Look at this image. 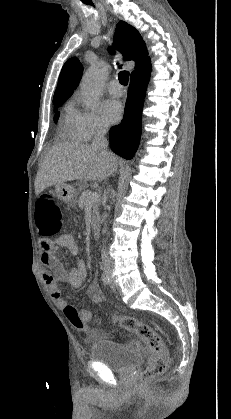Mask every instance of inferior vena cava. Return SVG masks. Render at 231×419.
I'll return each mask as SVG.
<instances>
[{"label": "inferior vena cava", "mask_w": 231, "mask_h": 419, "mask_svg": "<svg viewBox=\"0 0 231 419\" xmlns=\"http://www.w3.org/2000/svg\"><path fill=\"white\" fill-rule=\"evenodd\" d=\"M106 132H107L106 126L103 125L99 127L95 133L91 146L93 149L101 151V153L104 156H106V158L112 159L114 155L112 152L108 151V142H107V139L105 138ZM101 258H102V263L104 264V266H110L111 261L108 256V252L104 246L101 250Z\"/></svg>", "instance_id": "1"}]
</instances>
